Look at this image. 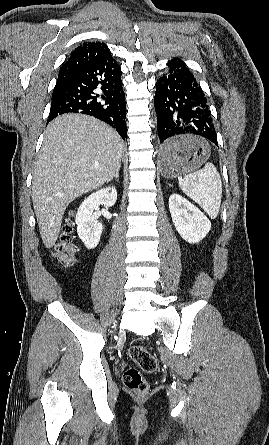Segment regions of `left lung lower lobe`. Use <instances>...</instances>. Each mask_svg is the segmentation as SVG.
Segmentation results:
<instances>
[{
	"instance_id": "left-lung-lower-lobe-1",
	"label": "left lung lower lobe",
	"mask_w": 269,
	"mask_h": 445,
	"mask_svg": "<svg viewBox=\"0 0 269 445\" xmlns=\"http://www.w3.org/2000/svg\"><path fill=\"white\" fill-rule=\"evenodd\" d=\"M167 65L169 73L157 80L154 98L163 153L170 156L181 150L177 135H197L217 144L211 111L195 77L178 58Z\"/></svg>"
}]
</instances>
